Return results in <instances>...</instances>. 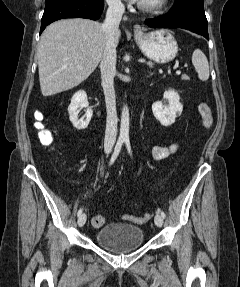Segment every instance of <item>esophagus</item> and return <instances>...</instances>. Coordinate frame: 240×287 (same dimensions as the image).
<instances>
[{
    "label": "esophagus",
    "mask_w": 240,
    "mask_h": 287,
    "mask_svg": "<svg viewBox=\"0 0 240 287\" xmlns=\"http://www.w3.org/2000/svg\"><path fill=\"white\" fill-rule=\"evenodd\" d=\"M134 33L135 34H140L141 33V27L139 25L134 26Z\"/></svg>",
    "instance_id": "34e87169"
}]
</instances>
